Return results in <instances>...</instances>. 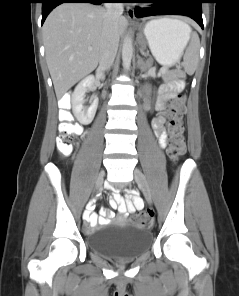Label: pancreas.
<instances>
[{"mask_svg":"<svg viewBox=\"0 0 239 296\" xmlns=\"http://www.w3.org/2000/svg\"><path fill=\"white\" fill-rule=\"evenodd\" d=\"M165 77H168V73L165 74Z\"/></svg>","mask_w":239,"mask_h":296,"instance_id":"pancreas-1","label":"pancreas"}]
</instances>
